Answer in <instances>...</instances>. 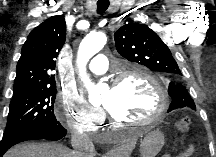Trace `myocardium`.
<instances>
[{
	"instance_id": "obj_1",
	"label": "myocardium",
	"mask_w": 216,
	"mask_h": 157,
	"mask_svg": "<svg viewBox=\"0 0 216 157\" xmlns=\"http://www.w3.org/2000/svg\"><path fill=\"white\" fill-rule=\"evenodd\" d=\"M129 77H138L148 82L157 94L158 106L149 118L139 121H126L118 119L108 108L105 107L110 122L117 126H147L158 122L168 108V98L165 89L152 75L140 68L128 69L122 74L116 76L112 81V87H118Z\"/></svg>"
}]
</instances>
